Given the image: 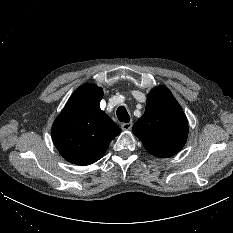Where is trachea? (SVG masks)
<instances>
[{
    "mask_svg": "<svg viewBox=\"0 0 233 233\" xmlns=\"http://www.w3.org/2000/svg\"><path fill=\"white\" fill-rule=\"evenodd\" d=\"M117 117L120 122H129L130 121V116L124 106H120L117 109Z\"/></svg>",
    "mask_w": 233,
    "mask_h": 233,
    "instance_id": "trachea-1",
    "label": "trachea"
}]
</instances>
